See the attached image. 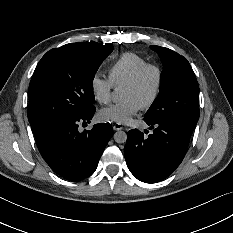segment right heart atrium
Wrapping results in <instances>:
<instances>
[{"mask_svg":"<svg viewBox=\"0 0 233 233\" xmlns=\"http://www.w3.org/2000/svg\"><path fill=\"white\" fill-rule=\"evenodd\" d=\"M90 87L94 98L102 104H107L111 98L113 85L109 79L93 75L90 80Z\"/></svg>","mask_w":233,"mask_h":233,"instance_id":"1","label":"right heart atrium"}]
</instances>
